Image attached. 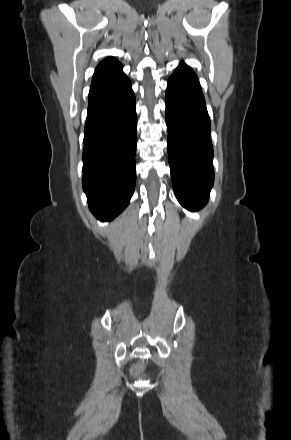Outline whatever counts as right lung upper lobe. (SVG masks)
<instances>
[{
    "label": "right lung upper lobe",
    "instance_id": "1",
    "mask_svg": "<svg viewBox=\"0 0 291 440\" xmlns=\"http://www.w3.org/2000/svg\"><path fill=\"white\" fill-rule=\"evenodd\" d=\"M118 66L121 64L114 57H108L98 64L96 71L109 70Z\"/></svg>",
    "mask_w": 291,
    "mask_h": 440
}]
</instances>
